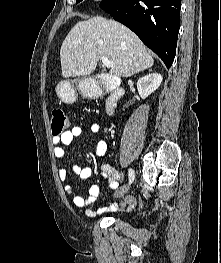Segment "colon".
Instances as JSON below:
<instances>
[{
  "label": "colon",
  "mask_w": 221,
  "mask_h": 263,
  "mask_svg": "<svg viewBox=\"0 0 221 263\" xmlns=\"http://www.w3.org/2000/svg\"><path fill=\"white\" fill-rule=\"evenodd\" d=\"M68 127V118L64 111L54 110L51 118V133L54 137L61 136Z\"/></svg>",
  "instance_id": "colon-1"
}]
</instances>
